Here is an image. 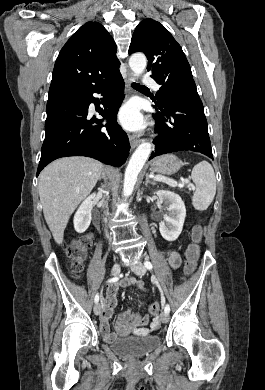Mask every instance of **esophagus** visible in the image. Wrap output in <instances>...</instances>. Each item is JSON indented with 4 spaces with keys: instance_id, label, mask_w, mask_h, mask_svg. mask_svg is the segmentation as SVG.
<instances>
[{
    "instance_id": "esophagus-1",
    "label": "esophagus",
    "mask_w": 265,
    "mask_h": 390,
    "mask_svg": "<svg viewBox=\"0 0 265 390\" xmlns=\"http://www.w3.org/2000/svg\"><path fill=\"white\" fill-rule=\"evenodd\" d=\"M135 76L133 75V73L131 72H128L127 74V87L129 88V90H131V84L133 82H135ZM130 139V145H131V148L134 149L136 146L139 145V143L141 142L140 139L134 137V136H130L129 137Z\"/></svg>"
}]
</instances>
